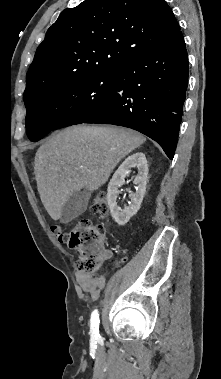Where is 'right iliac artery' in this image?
<instances>
[{"label":"right iliac artery","instance_id":"right-iliac-artery-1","mask_svg":"<svg viewBox=\"0 0 221 379\" xmlns=\"http://www.w3.org/2000/svg\"><path fill=\"white\" fill-rule=\"evenodd\" d=\"M91 336L98 337L99 336V313L98 310H94L91 314Z\"/></svg>","mask_w":221,"mask_h":379}]
</instances>
